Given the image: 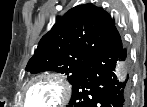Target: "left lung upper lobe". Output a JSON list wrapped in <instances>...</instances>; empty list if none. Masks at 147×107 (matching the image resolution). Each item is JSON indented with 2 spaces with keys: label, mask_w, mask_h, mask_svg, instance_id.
<instances>
[{
  "label": "left lung upper lobe",
  "mask_w": 147,
  "mask_h": 107,
  "mask_svg": "<svg viewBox=\"0 0 147 107\" xmlns=\"http://www.w3.org/2000/svg\"><path fill=\"white\" fill-rule=\"evenodd\" d=\"M114 26V19L101 7L89 3L72 8L41 38L26 71L53 70L67 75L72 84Z\"/></svg>",
  "instance_id": "1"
}]
</instances>
